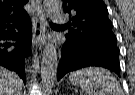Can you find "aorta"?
Returning <instances> with one entry per match:
<instances>
[{
    "label": "aorta",
    "mask_w": 135,
    "mask_h": 95,
    "mask_svg": "<svg viewBox=\"0 0 135 95\" xmlns=\"http://www.w3.org/2000/svg\"><path fill=\"white\" fill-rule=\"evenodd\" d=\"M61 7V0H44V11L49 18L58 13ZM57 67L58 56L56 48L52 43H47L41 62V88L44 95H50L52 92L56 80Z\"/></svg>",
    "instance_id": "762f6f07"
}]
</instances>
